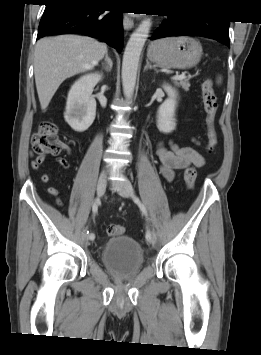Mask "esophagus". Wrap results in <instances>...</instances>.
I'll return each mask as SVG.
<instances>
[{
    "instance_id": "34e87169",
    "label": "esophagus",
    "mask_w": 261,
    "mask_h": 355,
    "mask_svg": "<svg viewBox=\"0 0 261 355\" xmlns=\"http://www.w3.org/2000/svg\"><path fill=\"white\" fill-rule=\"evenodd\" d=\"M123 27L125 30H130L134 27V21L127 14L123 16Z\"/></svg>"
}]
</instances>
